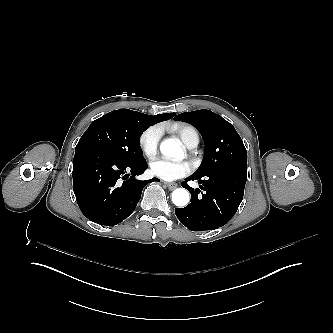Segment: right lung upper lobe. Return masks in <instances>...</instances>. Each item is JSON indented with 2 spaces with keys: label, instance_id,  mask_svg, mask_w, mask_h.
I'll use <instances>...</instances> for the list:
<instances>
[{
  "label": "right lung upper lobe",
  "instance_id": "cb5924a9",
  "mask_svg": "<svg viewBox=\"0 0 333 333\" xmlns=\"http://www.w3.org/2000/svg\"><path fill=\"white\" fill-rule=\"evenodd\" d=\"M141 114L152 125H154L155 123L161 122V121L169 120L176 115L175 113H164V114H159V115H155V116H150V115H146L143 113H141Z\"/></svg>",
  "mask_w": 333,
  "mask_h": 333
}]
</instances>
